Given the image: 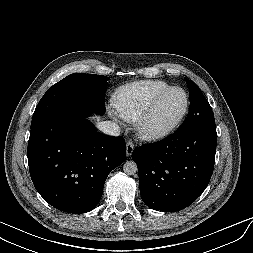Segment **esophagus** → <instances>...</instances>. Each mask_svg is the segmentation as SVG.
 <instances>
[{"mask_svg":"<svg viewBox=\"0 0 253 253\" xmlns=\"http://www.w3.org/2000/svg\"><path fill=\"white\" fill-rule=\"evenodd\" d=\"M134 147H135V145L131 140L127 141V143H126V154H127L128 157L132 155Z\"/></svg>","mask_w":253,"mask_h":253,"instance_id":"34e87169","label":"esophagus"}]
</instances>
